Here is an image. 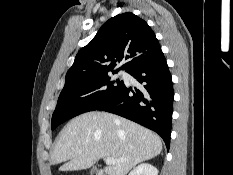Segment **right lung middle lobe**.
I'll return each mask as SVG.
<instances>
[{
  "label": "right lung middle lobe",
  "mask_w": 233,
  "mask_h": 175,
  "mask_svg": "<svg viewBox=\"0 0 233 175\" xmlns=\"http://www.w3.org/2000/svg\"><path fill=\"white\" fill-rule=\"evenodd\" d=\"M123 86V81L112 80L108 73L65 82L52 115V130L79 114L97 110Z\"/></svg>",
  "instance_id": "obj_1"
}]
</instances>
